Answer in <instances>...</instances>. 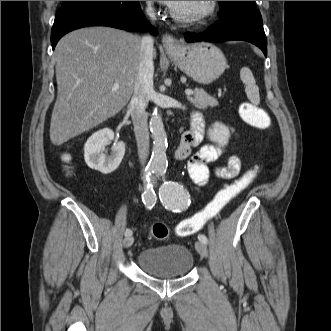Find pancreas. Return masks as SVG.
I'll list each match as a JSON object with an SVG mask.
<instances>
[{
	"mask_svg": "<svg viewBox=\"0 0 331 331\" xmlns=\"http://www.w3.org/2000/svg\"><path fill=\"white\" fill-rule=\"evenodd\" d=\"M195 107L205 109L209 106L214 107L218 105V101L213 96L207 94L203 89H196L193 97L187 98Z\"/></svg>",
	"mask_w": 331,
	"mask_h": 331,
	"instance_id": "cf45deb5",
	"label": "pancreas"
}]
</instances>
